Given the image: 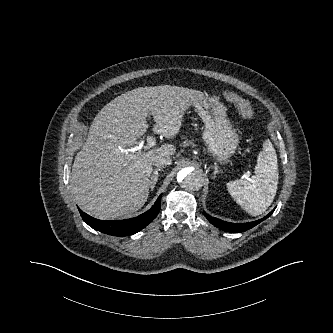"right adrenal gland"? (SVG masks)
<instances>
[{
  "instance_id": "obj_1",
  "label": "right adrenal gland",
  "mask_w": 333,
  "mask_h": 333,
  "mask_svg": "<svg viewBox=\"0 0 333 333\" xmlns=\"http://www.w3.org/2000/svg\"><path fill=\"white\" fill-rule=\"evenodd\" d=\"M162 170V168H156L151 176V181H150V191H153L157 181H158V176L159 172Z\"/></svg>"
}]
</instances>
